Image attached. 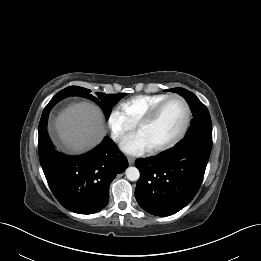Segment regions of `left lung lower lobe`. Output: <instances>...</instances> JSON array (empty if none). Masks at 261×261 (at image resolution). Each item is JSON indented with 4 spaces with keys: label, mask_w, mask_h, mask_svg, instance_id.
<instances>
[{
    "label": "left lung lower lobe",
    "mask_w": 261,
    "mask_h": 261,
    "mask_svg": "<svg viewBox=\"0 0 261 261\" xmlns=\"http://www.w3.org/2000/svg\"><path fill=\"white\" fill-rule=\"evenodd\" d=\"M211 148L212 137L193 135L158 156L137 159L141 174L135 189L138 204L156 216L184 208L200 188Z\"/></svg>",
    "instance_id": "left-lung-lower-lobe-1"
}]
</instances>
